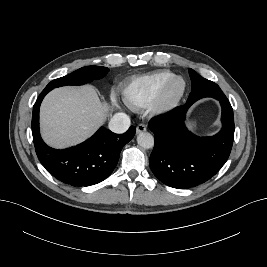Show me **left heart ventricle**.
<instances>
[{
  "label": "left heart ventricle",
  "instance_id": "left-heart-ventricle-1",
  "mask_svg": "<svg viewBox=\"0 0 267 267\" xmlns=\"http://www.w3.org/2000/svg\"><path fill=\"white\" fill-rule=\"evenodd\" d=\"M182 89V82L181 81H176L173 83L169 90V95L171 97L176 96Z\"/></svg>",
  "mask_w": 267,
  "mask_h": 267
}]
</instances>
